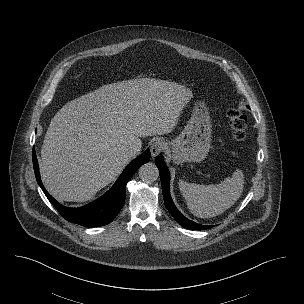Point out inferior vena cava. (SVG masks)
Listing matches in <instances>:
<instances>
[{
	"mask_svg": "<svg viewBox=\"0 0 304 304\" xmlns=\"http://www.w3.org/2000/svg\"><path fill=\"white\" fill-rule=\"evenodd\" d=\"M141 150V147L139 145L136 144H130L129 146H127L126 148V154L129 157H135Z\"/></svg>",
	"mask_w": 304,
	"mask_h": 304,
	"instance_id": "1",
	"label": "inferior vena cava"
}]
</instances>
